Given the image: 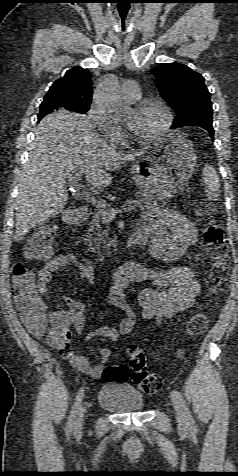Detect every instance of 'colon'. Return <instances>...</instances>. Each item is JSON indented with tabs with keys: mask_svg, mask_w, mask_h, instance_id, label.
<instances>
[{
	"mask_svg": "<svg viewBox=\"0 0 238 476\" xmlns=\"http://www.w3.org/2000/svg\"><path fill=\"white\" fill-rule=\"evenodd\" d=\"M196 218L203 227L201 246L211 263L207 287L210 294L217 295L228 288L229 249L221 226L222 215L210 202L201 201L196 207ZM55 234L54 226L40 227L29 239L24 250V258L29 261L48 260L54 251ZM12 276L16 308L30 331L36 336H41L45 330L46 310L39 297L34 275L25 264L16 263L12 267ZM207 324V316L198 312L190 318L188 330L191 334H201L207 329ZM63 335L61 332L51 331L48 341L52 346H56ZM127 352L130 368L135 373L136 386L147 394L157 392L161 388L162 381L157 374L149 371L144 351L138 346L130 345ZM102 375L107 382H122L128 379L129 368L125 365H108Z\"/></svg>",
	"mask_w": 238,
	"mask_h": 476,
	"instance_id": "5ec220e1",
	"label": "colon"
}]
</instances>
